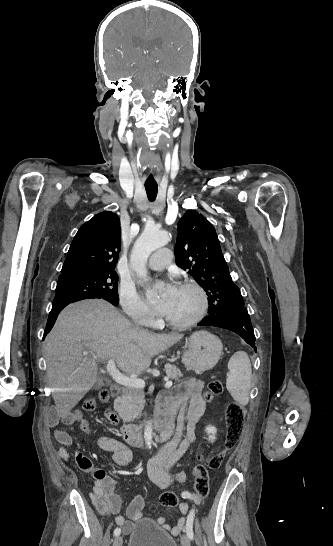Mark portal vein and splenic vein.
Wrapping results in <instances>:
<instances>
[{"mask_svg": "<svg viewBox=\"0 0 333 546\" xmlns=\"http://www.w3.org/2000/svg\"><path fill=\"white\" fill-rule=\"evenodd\" d=\"M106 368H107V371L109 372V374L115 380V382H117L118 384H120L122 386L133 387V388H144L145 387V382H144L143 379L133 378V377H129V376H126V375L122 374L116 368L114 359L108 360V362L106 364ZM165 381H166L165 387L170 388L172 386V381H170L168 378H165Z\"/></svg>", "mask_w": 333, "mask_h": 546, "instance_id": "18ae733b", "label": "portal vein and splenic vein"}]
</instances>
